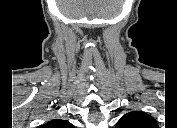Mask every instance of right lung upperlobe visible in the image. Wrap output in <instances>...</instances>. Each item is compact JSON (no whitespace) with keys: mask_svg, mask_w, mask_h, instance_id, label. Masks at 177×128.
Listing matches in <instances>:
<instances>
[{"mask_svg":"<svg viewBox=\"0 0 177 128\" xmlns=\"http://www.w3.org/2000/svg\"><path fill=\"white\" fill-rule=\"evenodd\" d=\"M73 127L74 126L70 122L61 119H53L41 126V128H73Z\"/></svg>","mask_w":177,"mask_h":128,"instance_id":"obj_1","label":"right lung upper lobe"}]
</instances>
